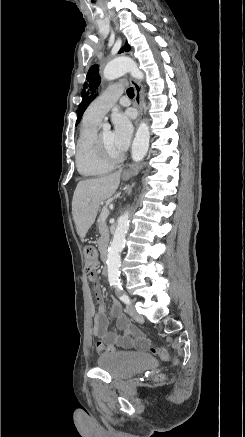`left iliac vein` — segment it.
Here are the masks:
<instances>
[{"instance_id":"1","label":"left iliac vein","mask_w":245,"mask_h":437,"mask_svg":"<svg viewBox=\"0 0 245 437\" xmlns=\"http://www.w3.org/2000/svg\"><path fill=\"white\" fill-rule=\"evenodd\" d=\"M127 312L128 314L137 322L141 323L143 322L144 318L140 314H138L135 310V307L131 304L127 305Z\"/></svg>"}]
</instances>
